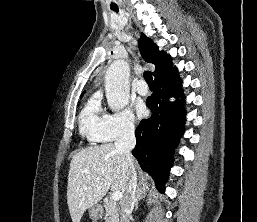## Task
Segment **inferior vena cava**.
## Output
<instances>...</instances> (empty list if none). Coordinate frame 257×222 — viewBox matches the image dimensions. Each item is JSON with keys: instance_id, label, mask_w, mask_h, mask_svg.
I'll return each mask as SVG.
<instances>
[{"instance_id": "inferior-vena-cava-1", "label": "inferior vena cava", "mask_w": 257, "mask_h": 222, "mask_svg": "<svg viewBox=\"0 0 257 222\" xmlns=\"http://www.w3.org/2000/svg\"><path fill=\"white\" fill-rule=\"evenodd\" d=\"M135 127L132 123L125 124L115 142L116 149L121 152L128 163L129 182L126 195L121 205L120 222H130V215L133 211L136 199L137 173L131 150L136 145Z\"/></svg>"}]
</instances>
